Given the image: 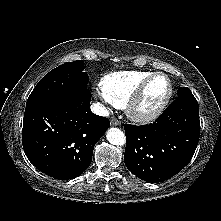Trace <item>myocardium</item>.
Segmentation results:
<instances>
[{
    "label": "myocardium",
    "mask_w": 221,
    "mask_h": 221,
    "mask_svg": "<svg viewBox=\"0 0 221 221\" xmlns=\"http://www.w3.org/2000/svg\"><path fill=\"white\" fill-rule=\"evenodd\" d=\"M162 76L166 78L169 84V90L162 102L153 110L148 112H142L139 110V105L144 97L145 91L149 84L156 78ZM174 93V85L171 78L162 72H155L146 77L137 86L131 97L128 99L125 105V112L127 117L133 122L144 124L149 123L157 119L167 108Z\"/></svg>",
    "instance_id": "obj_1"
}]
</instances>
